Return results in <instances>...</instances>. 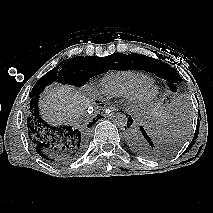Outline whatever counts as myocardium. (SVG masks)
Returning a JSON list of instances; mask_svg holds the SVG:
<instances>
[{
	"instance_id": "obj_1",
	"label": "myocardium",
	"mask_w": 213,
	"mask_h": 213,
	"mask_svg": "<svg viewBox=\"0 0 213 213\" xmlns=\"http://www.w3.org/2000/svg\"><path fill=\"white\" fill-rule=\"evenodd\" d=\"M158 95L157 85L150 81L144 85L141 89L135 92L134 102L139 105H147L152 103Z\"/></svg>"
}]
</instances>
